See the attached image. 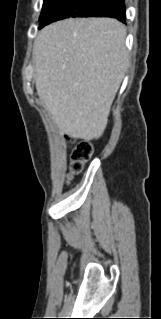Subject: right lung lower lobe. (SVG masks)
I'll use <instances>...</instances> for the list:
<instances>
[{
  "label": "right lung lower lobe",
  "instance_id": "98d812e1",
  "mask_svg": "<svg viewBox=\"0 0 161 319\" xmlns=\"http://www.w3.org/2000/svg\"><path fill=\"white\" fill-rule=\"evenodd\" d=\"M81 17H112L125 23L124 0H98L94 7Z\"/></svg>",
  "mask_w": 161,
  "mask_h": 319
}]
</instances>
